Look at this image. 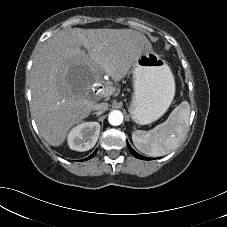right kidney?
I'll list each match as a JSON object with an SVG mask.
<instances>
[{
    "instance_id": "ca27d5eb",
    "label": "right kidney",
    "mask_w": 227,
    "mask_h": 227,
    "mask_svg": "<svg viewBox=\"0 0 227 227\" xmlns=\"http://www.w3.org/2000/svg\"><path fill=\"white\" fill-rule=\"evenodd\" d=\"M100 124L84 122L75 126L68 134V145L75 151H87L93 148L98 140Z\"/></svg>"
}]
</instances>
